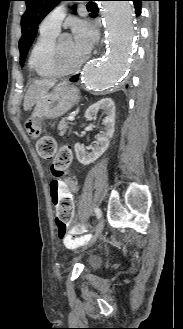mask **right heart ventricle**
I'll return each instance as SVG.
<instances>
[{"mask_svg": "<svg viewBox=\"0 0 183 329\" xmlns=\"http://www.w3.org/2000/svg\"><path fill=\"white\" fill-rule=\"evenodd\" d=\"M57 33L43 32L40 30L30 55L29 68L42 78L58 76L52 64V51L56 43Z\"/></svg>", "mask_w": 183, "mask_h": 329, "instance_id": "right-heart-ventricle-1", "label": "right heart ventricle"}]
</instances>
